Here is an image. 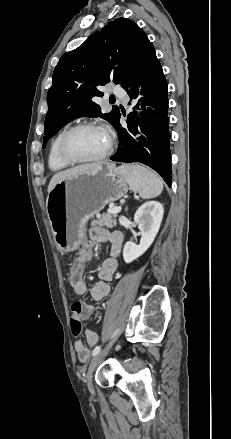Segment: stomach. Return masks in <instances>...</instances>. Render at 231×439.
<instances>
[{
	"instance_id": "0dacf381",
	"label": "stomach",
	"mask_w": 231,
	"mask_h": 439,
	"mask_svg": "<svg viewBox=\"0 0 231 439\" xmlns=\"http://www.w3.org/2000/svg\"><path fill=\"white\" fill-rule=\"evenodd\" d=\"M128 190L125 177L108 162L57 183L47 196L46 210L58 249H78L88 220Z\"/></svg>"
}]
</instances>
